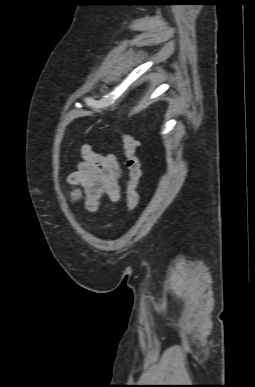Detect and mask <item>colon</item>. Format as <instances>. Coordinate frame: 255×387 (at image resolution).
<instances>
[{"label":"colon","instance_id":"5ec220e1","mask_svg":"<svg viewBox=\"0 0 255 387\" xmlns=\"http://www.w3.org/2000/svg\"><path fill=\"white\" fill-rule=\"evenodd\" d=\"M122 143L125 155V165L128 170L126 205L129 211H133L139 203V194L137 191L141 177V166L136 154L138 142L130 134L122 135Z\"/></svg>","mask_w":255,"mask_h":387}]
</instances>
